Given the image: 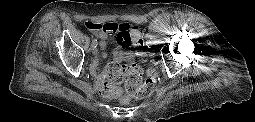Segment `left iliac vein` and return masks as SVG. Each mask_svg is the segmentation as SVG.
<instances>
[{
    "label": "left iliac vein",
    "mask_w": 255,
    "mask_h": 122,
    "mask_svg": "<svg viewBox=\"0 0 255 122\" xmlns=\"http://www.w3.org/2000/svg\"><path fill=\"white\" fill-rule=\"evenodd\" d=\"M151 54L154 55V52L152 51Z\"/></svg>",
    "instance_id": "left-iliac-vein-1"
}]
</instances>
